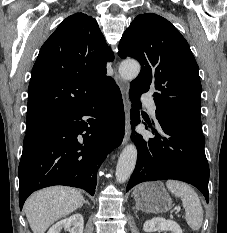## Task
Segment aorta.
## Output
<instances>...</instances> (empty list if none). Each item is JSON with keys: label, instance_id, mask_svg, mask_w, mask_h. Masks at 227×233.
<instances>
[{"label": "aorta", "instance_id": "762f6f07", "mask_svg": "<svg viewBox=\"0 0 227 233\" xmlns=\"http://www.w3.org/2000/svg\"><path fill=\"white\" fill-rule=\"evenodd\" d=\"M140 64L134 60L123 61L119 66V74L123 79L132 80L138 76ZM137 161V148L134 144L127 145L121 152L116 166V180L124 183L131 176Z\"/></svg>", "mask_w": 227, "mask_h": 233}]
</instances>
